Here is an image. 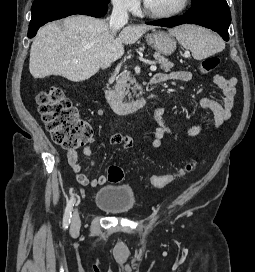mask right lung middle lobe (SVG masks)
I'll use <instances>...</instances> for the list:
<instances>
[{
    "label": "right lung middle lobe",
    "mask_w": 255,
    "mask_h": 272,
    "mask_svg": "<svg viewBox=\"0 0 255 272\" xmlns=\"http://www.w3.org/2000/svg\"><path fill=\"white\" fill-rule=\"evenodd\" d=\"M90 1H98L102 4H108L110 2V0H90Z\"/></svg>",
    "instance_id": "dd1d6c3e"
}]
</instances>
